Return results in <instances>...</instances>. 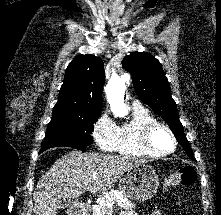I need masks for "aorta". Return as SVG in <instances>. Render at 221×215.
Returning a JSON list of instances; mask_svg holds the SVG:
<instances>
[{
    "label": "aorta",
    "instance_id": "aorta-1",
    "mask_svg": "<svg viewBox=\"0 0 221 215\" xmlns=\"http://www.w3.org/2000/svg\"><path fill=\"white\" fill-rule=\"evenodd\" d=\"M126 91L125 81L118 76H112L105 87L107 101L110 104L112 113L116 117H125L129 109L124 103V94Z\"/></svg>",
    "mask_w": 221,
    "mask_h": 215
}]
</instances>
